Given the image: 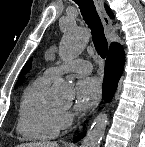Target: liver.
Instances as JSON below:
<instances>
[{
  "instance_id": "obj_1",
  "label": "liver",
  "mask_w": 145,
  "mask_h": 147,
  "mask_svg": "<svg viewBox=\"0 0 145 147\" xmlns=\"http://www.w3.org/2000/svg\"><path fill=\"white\" fill-rule=\"evenodd\" d=\"M18 147H59L57 142H37V143H24Z\"/></svg>"
}]
</instances>
